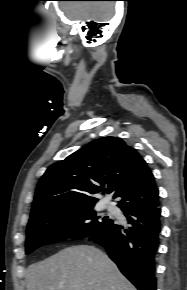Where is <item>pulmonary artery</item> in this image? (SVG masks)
<instances>
[{
  "instance_id": "1",
  "label": "pulmonary artery",
  "mask_w": 187,
  "mask_h": 290,
  "mask_svg": "<svg viewBox=\"0 0 187 290\" xmlns=\"http://www.w3.org/2000/svg\"><path fill=\"white\" fill-rule=\"evenodd\" d=\"M107 209L110 210V211H113L114 210V208H113L112 205H107Z\"/></svg>"
}]
</instances>
